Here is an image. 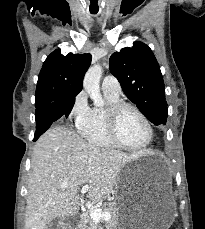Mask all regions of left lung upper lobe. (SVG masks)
<instances>
[{
	"instance_id": "obj_1",
	"label": "left lung upper lobe",
	"mask_w": 205,
	"mask_h": 229,
	"mask_svg": "<svg viewBox=\"0 0 205 229\" xmlns=\"http://www.w3.org/2000/svg\"><path fill=\"white\" fill-rule=\"evenodd\" d=\"M111 73L119 80L125 95L155 125L165 124L167 103L160 67L152 50L134 42L115 52L109 60Z\"/></svg>"
}]
</instances>
